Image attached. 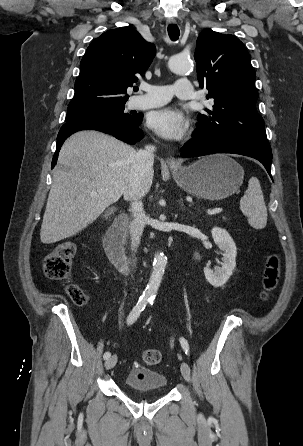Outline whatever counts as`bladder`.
Wrapping results in <instances>:
<instances>
[{
	"label": "bladder",
	"mask_w": 303,
	"mask_h": 446,
	"mask_svg": "<svg viewBox=\"0 0 303 446\" xmlns=\"http://www.w3.org/2000/svg\"><path fill=\"white\" fill-rule=\"evenodd\" d=\"M168 384L164 374L142 366H134L127 373L124 385L133 391H163Z\"/></svg>",
	"instance_id": "31cf9c89"
}]
</instances>
